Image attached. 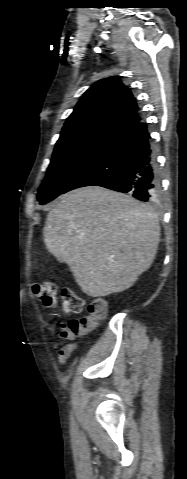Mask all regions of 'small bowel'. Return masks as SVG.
Segmentation results:
<instances>
[{
  "instance_id": "obj_1",
  "label": "small bowel",
  "mask_w": 187,
  "mask_h": 479,
  "mask_svg": "<svg viewBox=\"0 0 187 479\" xmlns=\"http://www.w3.org/2000/svg\"><path fill=\"white\" fill-rule=\"evenodd\" d=\"M78 347L74 344H65L58 351V362L65 364L69 357L77 351Z\"/></svg>"
}]
</instances>
